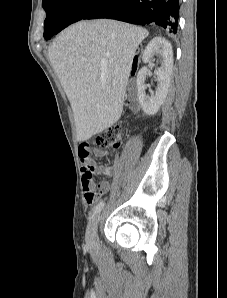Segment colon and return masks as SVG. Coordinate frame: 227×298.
I'll return each instance as SVG.
<instances>
[{
    "mask_svg": "<svg viewBox=\"0 0 227 298\" xmlns=\"http://www.w3.org/2000/svg\"><path fill=\"white\" fill-rule=\"evenodd\" d=\"M96 144L100 148H119L122 144L121 129L118 126L106 129L96 137ZM85 199L89 204H94L99 199V194L93 189L86 188Z\"/></svg>",
    "mask_w": 227,
    "mask_h": 298,
    "instance_id": "obj_1",
    "label": "colon"
}]
</instances>
